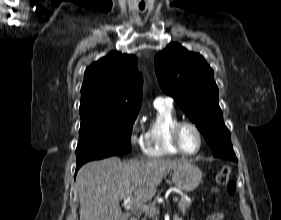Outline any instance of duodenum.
Returning <instances> with one entry per match:
<instances>
[{
	"mask_svg": "<svg viewBox=\"0 0 281 220\" xmlns=\"http://www.w3.org/2000/svg\"><path fill=\"white\" fill-rule=\"evenodd\" d=\"M131 220H137V219H135V218H132ZM175 220H182V219H180V218H177V219H175Z\"/></svg>",
	"mask_w": 281,
	"mask_h": 220,
	"instance_id": "1",
	"label": "duodenum"
}]
</instances>
